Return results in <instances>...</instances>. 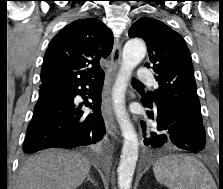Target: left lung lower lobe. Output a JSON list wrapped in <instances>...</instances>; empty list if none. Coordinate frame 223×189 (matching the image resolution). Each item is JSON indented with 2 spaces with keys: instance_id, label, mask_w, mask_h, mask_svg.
I'll list each match as a JSON object with an SVG mask.
<instances>
[{
  "instance_id": "obj_1",
  "label": "left lung lower lobe",
  "mask_w": 223,
  "mask_h": 189,
  "mask_svg": "<svg viewBox=\"0 0 223 189\" xmlns=\"http://www.w3.org/2000/svg\"><path fill=\"white\" fill-rule=\"evenodd\" d=\"M147 107V115L151 126L141 123L144 145L148 149L158 148L165 144H175L177 147L192 153H198L205 148V128L202 124L182 119L168 113L165 109L141 100Z\"/></svg>"
}]
</instances>
